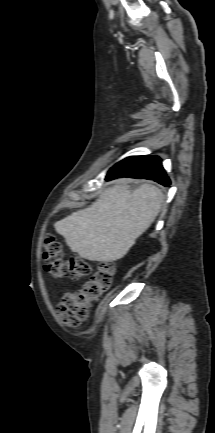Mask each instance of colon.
<instances>
[{
  "label": "colon",
  "mask_w": 215,
  "mask_h": 433,
  "mask_svg": "<svg viewBox=\"0 0 215 433\" xmlns=\"http://www.w3.org/2000/svg\"><path fill=\"white\" fill-rule=\"evenodd\" d=\"M46 269L56 278L71 277L80 279L90 275L83 285L62 294L57 306L58 318L68 326H76L87 320L91 305L110 289L115 269L112 263H99L91 274V264L81 257L65 260L62 244L51 233L46 234L43 245Z\"/></svg>",
  "instance_id": "5ec220e1"
}]
</instances>
